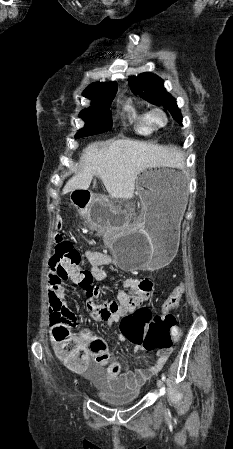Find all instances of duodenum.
Wrapping results in <instances>:
<instances>
[{"label": "duodenum", "mask_w": 233, "mask_h": 449, "mask_svg": "<svg viewBox=\"0 0 233 449\" xmlns=\"http://www.w3.org/2000/svg\"><path fill=\"white\" fill-rule=\"evenodd\" d=\"M93 200L91 192L86 191L84 186H77L75 188L74 197L72 198L73 206H92Z\"/></svg>", "instance_id": "1"}]
</instances>
